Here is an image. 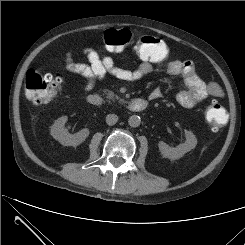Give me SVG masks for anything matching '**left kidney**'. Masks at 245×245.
I'll use <instances>...</instances> for the list:
<instances>
[{
  "mask_svg": "<svg viewBox=\"0 0 245 245\" xmlns=\"http://www.w3.org/2000/svg\"><path fill=\"white\" fill-rule=\"evenodd\" d=\"M186 141L177 147H170L164 142H159L158 147L165 158L175 160L181 158L185 153L194 149L197 145V138L191 131L185 130Z\"/></svg>",
  "mask_w": 245,
  "mask_h": 245,
  "instance_id": "obj_1",
  "label": "left kidney"
}]
</instances>
